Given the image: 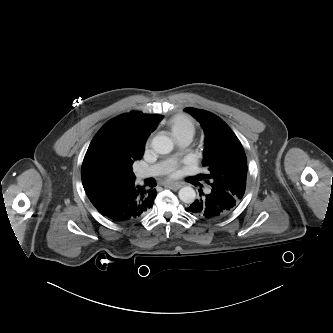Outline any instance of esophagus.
<instances>
[{"mask_svg": "<svg viewBox=\"0 0 333 333\" xmlns=\"http://www.w3.org/2000/svg\"><path fill=\"white\" fill-rule=\"evenodd\" d=\"M165 187L173 190H178L179 188L182 187L180 183H175V182H167L165 183Z\"/></svg>", "mask_w": 333, "mask_h": 333, "instance_id": "34e87169", "label": "esophagus"}]
</instances>
